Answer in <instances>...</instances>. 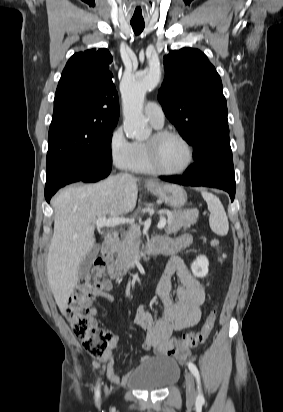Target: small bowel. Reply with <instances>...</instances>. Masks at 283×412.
Wrapping results in <instances>:
<instances>
[{
  "label": "small bowel",
  "mask_w": 283,
  "mask_h": 412,
  "mask_svg": "<svg viewBox=\"0 0 283 412\" xmlns=\"http://www.w3.org/2000/svg\"><path fill=\"white\" fill-rule=\"evenodd\" d=\"M157 241L169 244L173 247L172 258L161 279L158 289V300L162 307V314L159 319H153L151 313L145 306L140 305L135 312L134 323L146 332V338L142 348L153 351L155 355L161 357L175 356L183 363L188 356V351L178 352L172 344V334L174 331L194 327L200 320V307L205 300L204 284L195 278L187 268L185 262L177 254L189 249L193 245V238L189 234L182 235L176 239L156 238ZM178 280L175 286L174 280ZM113 287L111 280L104 281L98 295L106 302L112 303L114 296L109 292ZM173 294L176 299L173 300ZM93 314L98 313L97 308L91 309ZM119 346L118 338L113 335L110 348L103 356V361L107 362V374L111 381L124 386L127 378L120 377L115 372V361L113 351ZM149 356L140 358L145 362Z\"/></svg>",
  "instance_id": "obj_1"
}]
</instances>
